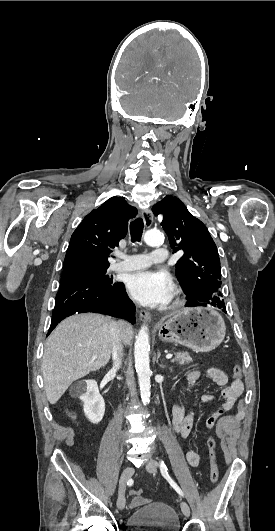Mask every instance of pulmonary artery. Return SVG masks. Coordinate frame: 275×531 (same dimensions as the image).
Listing matches in <instances>:
<instances>
[{
    "mask_svg": "<svg viewBox=\"0 0 275 531\" xmlns=\"http://www.w3.org/2000/svg\"><path fill=\"white\" fill-rule=\"evenodd\" d=\"M117 256L122 258V261L117 262L113 267V271H132L143 267H151L146 255H128L123 251H118ZM168 253L164 249L155 247L150 253V263L152 265H164Z\"/></svg>",
    "mask_w": 275,
    "mask_h": 531,
    "instance_id": "pulmonary-artery-1",
    "label": "pulmonary artery"
}]
</instances>
